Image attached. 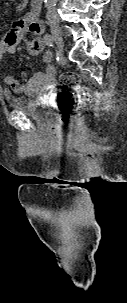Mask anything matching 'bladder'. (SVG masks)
Masks as SVG:
<instances>
[{
  "mask_svg": "<svg viewBox=\"0 0 127 303\" xmlns=\"http://www.w3.org/2000/svg\"><path fill=\"white\" fill-rule=\"evenodd\" d=\"M6 102L11 109L21 111L33 119L42 120L48 117L46 104L35 93L19 96L7 94Z\"/></svg>",
  "mask_w": 127,
  "mask_h": 303,
  "instance_id": "obj_1",
  "label": "bladder"
}]
</instances>
